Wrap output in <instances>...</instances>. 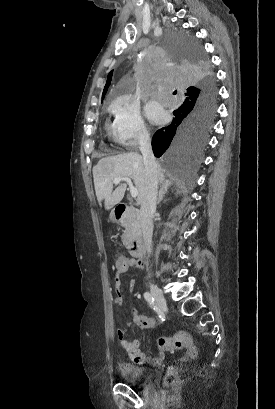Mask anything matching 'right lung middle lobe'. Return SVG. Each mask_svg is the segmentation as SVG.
I'll use <instances>...</instances> for the list:
<instances>
[{
  "label": "right lung middle lobe",
  "mask_w": 275,
  "mask_h": 409,
  "mask_svg": "<svg viewBox=\"0 0 275 409\" xmlns=\"http://www.w3.org/2000/svg\"><path fill=\"white\" fill-rule=\"evenodd\" d=\"M162 51H174L173 63L179 66L178 82L195 85L193 94L182 105H171V124L156 131L152 139L155 157L173 174L192 181V164L200 159L207 146L215 115L216 82L205 51L184 30H166ZM188 73V76H186ZM169 82H153V91H169ZM163 105L176 104V97L163 96Z\"/></svg>",
  "instance_id": "right-lung-middle-lobe-1"
}]
</instances>
